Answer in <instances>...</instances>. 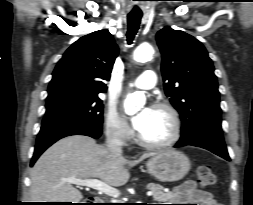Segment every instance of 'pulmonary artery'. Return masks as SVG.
<instances>
[{"instance_id":"1","label":"pulmonary artery","mask_w":253,"mask_h":205,"mask_svg":"<svg viewBox=\"0 0 253 205\" xmlns=\"http://www.w3.org/2000/svg\"><path fill=\"white\" fill-rule=\"evenodd\" d=\"M157 77L154 71L145 70L135 81L134 86L138 89H151L156 85Z\"/></svg>"}]
</instances>
